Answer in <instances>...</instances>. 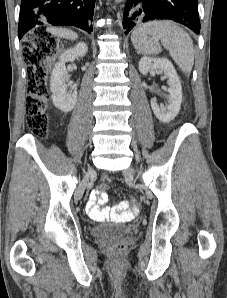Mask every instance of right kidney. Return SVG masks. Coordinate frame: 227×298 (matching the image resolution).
Instances as JSON below:
<instances>
[{
	"mask_svg": "<svg viewBox=\"0 0 227 298\" xmlns=\"http://www.w3.org/2000/svg\"><path fill=\"white\" fill-rule=\"evenodd\" d=\"M88 48L84 43H78L75 47L65 50L60 61L55 64L50 79V90L52 92L53 104L61 111L67 113L71 111L77 101V91H67L69 84V74L65 63L73 62L77 57L86 55Z\"/></svg>",
	"mask_w": 227,
	"mask_h": 298,
	"instance_id": "ca27d5eb",
	"label": "right kidney"
}]
</instances>
